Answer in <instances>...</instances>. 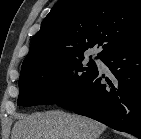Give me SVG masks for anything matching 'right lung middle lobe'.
<instances>
[{"instance_id": "right-lung-middle-lobe-1", "label": "right lung middle lobe", "mask_w": 141, "mask_h": 139, "mask_svg": "<svg viewBox=\"0 0 141 139\" xmlns=\"http://www.w3.org/2000/svg\"><path fill=\"white\" fill-rule=\"evenodd\" d=\"M82 60L79 57L21 70L18 106L50 105L67 99L97 71L92 59L87 66Z\"/></svg>"}]
</instances>
